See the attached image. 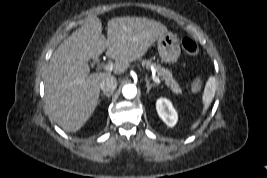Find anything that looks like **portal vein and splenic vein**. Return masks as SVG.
Returning <instances> with one entry per match:
<instances>
[{
    "label": "portal vein and splenic vein",
    "instance_id": "1",
    "mask_svg": "<svg viewBox=\"0 0 267 178\" xmlns=\"http://www.w3.org/2000/svg\"><path fill=\"white\" fill-rule=\"evenodd\" d=\"M103 68L104 70L111 72L114 70V65L112 63H108ZM152 79L157 84L161 83L160 79L157 76H152Z\"/></svg>",
    "mask_w": 267,
    "mask_h": 178
}]
</instances>
